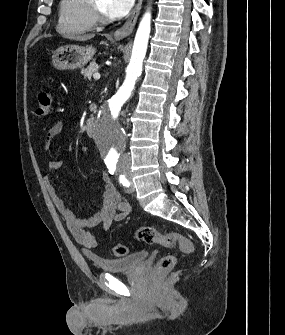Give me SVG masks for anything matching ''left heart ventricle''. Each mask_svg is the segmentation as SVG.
<instances>
[{"instance_id": "1", "label": "left heart ventricle", "mask_w": 285, "mask_h": 335, "mask_svg": "<svg viewBox=\"0 0 285 335\" xmlns=\"http://www.w3.org/2000/svg\"><path fill=\"white\" fill-rule=\"evenodd\" d=\"M101 3H102V1H101ZM102 6H103V9H104V5H103V3H102ZM104 11H105V9H104Z\"/></svg>"}]
</instances>
